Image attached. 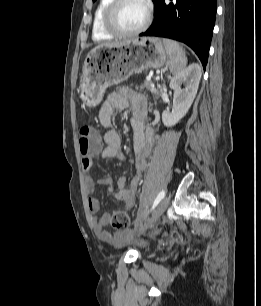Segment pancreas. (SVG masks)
Masks as SVG:
<instances>
[{"instance_id":"cf45deb5","label":"pancreas","mask_w":261,"mask_h":306,"mask_svg":"<svg viewBox=\"0 0 261 306\" xmlns=\"http://www.w3.org/2000/svg\"><path fill=\"white\" fill-rule=\"evenodd\" d=\"M144 88H146L147 90H149L153 94H158L159 93V89L153 87L152 82L149 81V80L144 81V83L140 86V89H144ZM136 89L138 90L139 87H136Z\"/></svg>"}]
</instances>
